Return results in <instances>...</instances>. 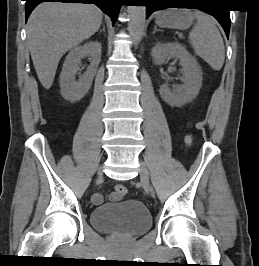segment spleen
Wrapping results in <instances>:
<instances>
[{
  "label": "spleen",
  "instance_id": "obj_1",
  "mask_svg": "<svg viewBox=\"0 0 259 266\" xmlns=\"http://www.w3.org/2000/svg\"><path fill=\"white\" fill-rule=\"evenodd\" d=\"M197 23L189 34V41L195 54L210 65L213 70H220L225 60V47L214 20L206 13L194 11Z\"/></svg>",
  "mask_w": 259,
  "mask_h": 266
}]
</instances>
